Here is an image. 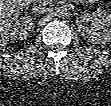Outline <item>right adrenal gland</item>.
<instances>
[{"mask_svg":"<svg viewBox=\"0 0 111 106\" xmlns=\"http://www.w3.org/2000/svg\"><path fill=\"white\" fill-rule=\"evenodd\" d=\"M31 14H34V13L31 11ZM34 15H36V14H34Z\"/></svg>","mask_w":111,"mask_h":106,"instance_id":"1","label":"right adrenal gland"}]
</instances>
